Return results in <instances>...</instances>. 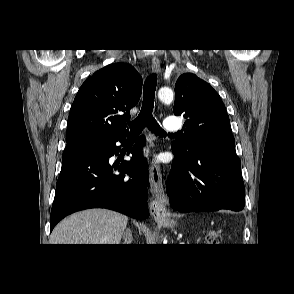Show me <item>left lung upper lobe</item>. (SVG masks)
I'll use <instances>...</instances> for the list:
<instances>
[{
    "mask_svg": "<svg viewBox=\"0 0 294 294\" xmlns=\"http://www.w3.org/2000/svg\"><path fill=\"white\" fill-rule=\"evenodd\" d=\"M173 112L187 119L184 140L172 144L178 153L213 150L235 154V139L225 106L219 94L195 74L186 73L178 78Z\"/></svg>",
    "mask_w": 294,
    "mask_h": 294,
    "instance_id": "obj_1",
    "label": "left lung upper lobe"
}]
</instances>
